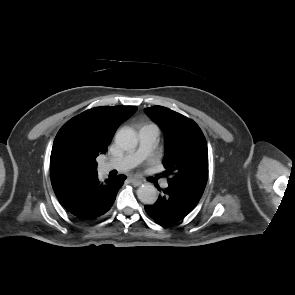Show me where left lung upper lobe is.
<instances>
[{"instance_id":"1","label":"left lung upper lobe","mask_w":295,"mask_h":295,"mask_svg":"<svg viewBox=\"0 0 295 295\" xmlns=\"http://www.w3.org/2000/svg\"><path fill=\"white\" fill-rule=\"evenodd\" d=\"M164 134V176L168 183L204 191L208 179V149L199 126L191 119L162 106L144 109Z\"/></svg>"}]
</instances>
